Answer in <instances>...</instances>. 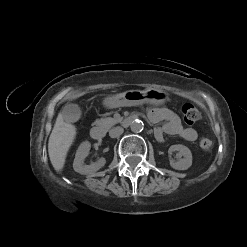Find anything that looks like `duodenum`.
<instances>
[{
    "label": "duodenum",
    "mask_w": 247,
    "mask_h": 247,
    "mask_svg": "<svg viewBox=\"0 0 247 247\" xmlns=\"http://www.w3.org/2000/svg\"><path fill=\"white\" fill-rule=\"evenodd\" d=\"M134 120V117H127L123 120L124 126H129ZM90 135L94 140H101L105 136V129L102 126H93L90 130Z\"/></svg>",
    "instance_id": "duodenum-1"
}]
</instances>
